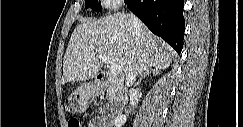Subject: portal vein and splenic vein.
Wrapping results in <instances>:
<instances>
[{"label":"portal vein and splenic vein","instance_id":"portal-vein-and-splenic-vein-1","mask_svg":"<svg viewBox=\"0 0 243 127\" xmlns=\"http://www.w3.org/2000/svg\"><path fill=\"white\" fill-rule=\"evenodd\" d=\"M99 58L102 60L103 63L109 65L110 73L113 76H117L120 74V72H121L120 66L118 64H116L115 62H112L108 56L99 54Z\"/></svg>","mask_w":243,"mask_h":127}]
</instances>
